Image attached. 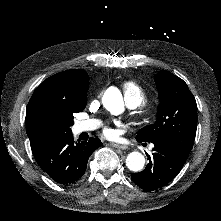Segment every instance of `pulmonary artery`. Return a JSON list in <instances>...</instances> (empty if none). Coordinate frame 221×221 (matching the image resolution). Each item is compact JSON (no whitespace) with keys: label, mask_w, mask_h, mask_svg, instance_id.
I'll return each instance as SVG.
<instances>
[{"label":"pulmonary artery","mask_w":221,"mask_h":221,"mask_svg":"<svg viewBox=\"0 0 221 221\" xmlns=\"http://www.w3.org/2000/svg\"><path fill=\"white\" fill-rule=\"evenodd\" d=\"M126 96H127V107L130 110H135L141 105V94L137 87V82L134 79H129L126 82ZM100 125L98 120H91L88 122H81L78 125L80 131H89L97 128Z\"/></svg>","instance_id":"pulmonary-artery-1"}]
</instances>
